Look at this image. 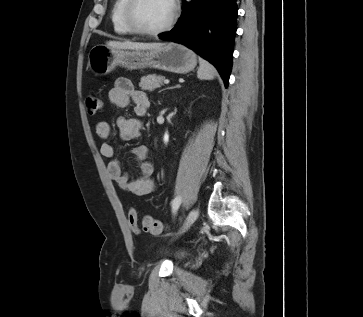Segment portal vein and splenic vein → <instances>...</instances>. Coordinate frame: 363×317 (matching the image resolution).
Wrapping results in <instances>:
<instances>
[{
    "instance_id": "1",
    "label": "portal vein and splenic vein",
    "mask_w": 363,
    "mask_h": 317,
    "mask_svg": "<svg viewBox=\"0 0 363 317\" xmlns=\"http://www.w3.org/2000/svg\"><path fill=\"white\" fill-rule=\"evenodd\" d=\"M169 82H170V81H169L168 79H165V80H164V83H165V84H169Z\"/></svg>"
}]
</instances>
